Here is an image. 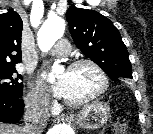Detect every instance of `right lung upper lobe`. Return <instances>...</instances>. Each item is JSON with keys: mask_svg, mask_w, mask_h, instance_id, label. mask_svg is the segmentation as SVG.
Masks as SVG:
<instances>
[{"mask_svg": "<svg viewBox=\"0 0 153 134\" xmlns=\"http://www.w3.org/2000/svg\"><path fill=\"white\" fill-rule=\"evenodd\" d=\"M23 23L13 10L0 14V67L15 66L21 57Z\"/></svg>", "mask_w": 153, "mask_h": 134, "instance_id": "cb5924a9", "label": "right lung upper lobe"}]
</instances>
